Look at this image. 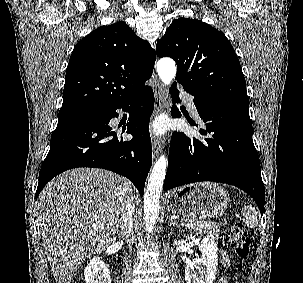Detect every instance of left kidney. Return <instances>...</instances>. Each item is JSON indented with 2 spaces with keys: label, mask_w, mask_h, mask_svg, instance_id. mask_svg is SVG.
<instances>
[{
  "label": "left kidney",
  "mask_w": 303,
  "mask_h": 283,
  "mask_svg": "<svg viewBox=\"0 0 303 283\" xmlns=\"http://www.w3.org/2000/svg\"><path fill=\"white\" fill-rule=\"evenodd\" d=\"M199 250L202 258L193 259L185 267L186 283H213L218 265L217 243L214 238L205 237L199 243Z\"/></svg>",
  "instance_id": "1"
}]
</instances>
